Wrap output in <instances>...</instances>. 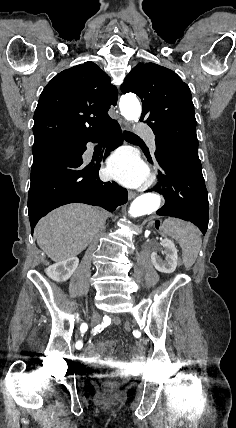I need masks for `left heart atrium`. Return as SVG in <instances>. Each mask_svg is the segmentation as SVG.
I'll use <instances>...</instances> for the list:
<instances>
[{
  "label": "left heart atrium",
  "instance_id": "obj_1",
  "mask_svg": "<svg viewBox=\"0 0 236 428\" xmlns=\"http://www.w3.org/2000/svg\"><path fill=\"white\" fill-rule=\"evenodd\" d=\"M146 174L142 162L129 150L116 152L107 165L109 177L130 187L139 186L144 181Z\"/></svg>",
  "mask_w": 236,
  "mask_h": 428
}]
</instances>
